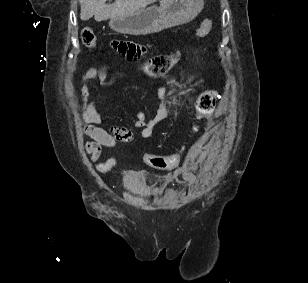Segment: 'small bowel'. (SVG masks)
Wrapping results in <instances>:
<instances>
[{
	"mask_svg": "<svg viewBox=\"0 0 308 283\" xmlns=\"http://www.w3.org/2000/svg\"><path fill=\"white\" fill-rule=\"evenodd\" d=\"M111 46L117 53L130 59L141 57L149 49V45L135 44L125 41H113ZM116 77V75H110L107 68L100 70L90 68L82 76L81 112L85 122L84 132L90 139L85 144V150L91 161H97L100 158L103 148H112L118 142L126 143L133 139L132 131L126 127H105L104 118L97 102L89 99L90 84L93 81H96L101 88H107L116 81ZM167 113L168 109L165 95L161 92L157 113L152 119H148L147 115L142 111L136 113L135 126L141 129L140 136L142 138L151 137L155 126L167 117ZM115 165L116 159L111 158L105 162L97 164L96 168L99 172H107ZM178 171L186 175L189 179L193 178L191 169L188 167H181Z\"/></svg>",
	"mask_w": 308,
	"mask_h": 283,
	"instance_id": "obj_1",
	"label": "small bowel"
}]
</instances>
